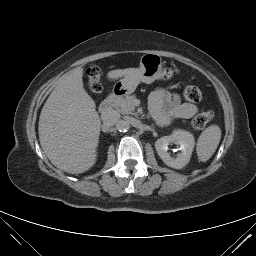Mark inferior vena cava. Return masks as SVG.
Here are the masks:
<instances>
[{
    "mask_svg": "<svg viewBox=\"0 0 256 256\" xmlns=\"http://www.w3.org/2000/svg\"><path fill=\"white\" fill-rule=\"evenodd\" d=\"M101 118L104 126L109 128L119 122L120 114L114 109H109L102 113Z\"/></svg>",
    "mask_w": 256,
    "mask_h": 256,
    "instance_id": "obj_1",
    "label": "inferior vena cava"
}]
</instances>
